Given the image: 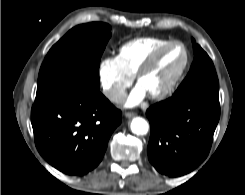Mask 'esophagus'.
<instances>
[{
	"label": "esophagus",
	"instance_id": "obj_1",
	"mask_svg": "<svg viewBox=\"0 0 245 195\" xmlns=\"http://www.w3.org/2000/svg\"><path fill=\"white\" fill-rule=\"evenodd\" d=\"M136 113L135 112H125V117L126 118H132L135 117Z\"/></svg>",
	"mask_w": 245,
	"mask_h": 195
}]
</instances>
